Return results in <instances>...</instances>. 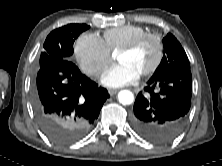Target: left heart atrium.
Instances as JSON below:
<instances>
[{
  "label": "left heart atrium",
  "instance_id": "39dd6f15",
  "mask_svg": "<svg viewBox=\"0 0 222 166\" xmlns=\"http://www.w3.org/2000/svg\"><path fill=\"white\" fill-rule=\"evenodd\" d=\"M139 75L126 63L119 62L105 71L101 77V83L110 88L122 87L136 81Z\"/></svg>",
  "mask_w": 222,
  "mask_h": 166
}]
</instances>
